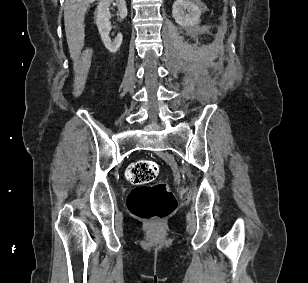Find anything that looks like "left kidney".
Wrapping results in <instances>:
<instances>
[{
	"instance_id": "obj_1",
	"label": "left kidney",
	"mask_w": 308,
	"mask_h": 283,
	"mask_svg": "<svg viewBox=\"0 0 308 283\" xmlns=\"http://www.w3.org/2000/svg\"><path fill=\"white\" fill-rule=\"evenodd\" d=\"M204 9L200 0H176L172 6V15L179 26L193 27L199 23Z\"/></svg>"
}]
</instances>
